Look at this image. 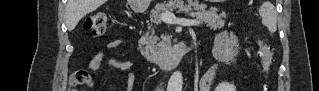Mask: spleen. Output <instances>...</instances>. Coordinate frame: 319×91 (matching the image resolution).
<instances>
[{
    "label": "spleen",
    "instance_id": "1",
    "mask_svg": "<svg viewBox=\"0 0 319 91\" xmlns=\"http://www.w3.org/2000/svg\"><path fill=\"white\" fill-rule=\"evenodd\" d=\"M259 14L262 18V24L267 27L270 33H274L277 30V13L274 5L269 1L264 2L259 9Z\"/></svg>",
    "mask_w": 319,
    "mask_h": 91
}]
</instances>
